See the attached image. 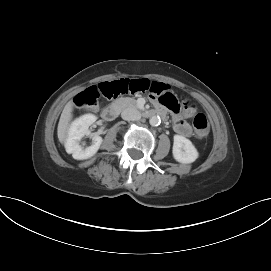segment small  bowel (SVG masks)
Returning <instances> with one entry per match:
<instances>
[{
  "instance_id": "c3829d8e",
  "label": "small bowel",
  "mask_w": 271,
  "mask_h": 271,
  "mask_svg": "<svg viewBox=\"0 0 271 271\" xmlns=\"http://www.w3.org/2000/svg\"><path fill=\"white\" fill-rule=\"evenodd\" d=\"M168 88V81L167 80H156L154 86L150 87V94L151 95H163L164 89ZM152 101L160 106L161 103L156 99L152 98ZM174 130L181 136L190 137L192 134V129L190 125L181 117L175 116L174 118Z\"/></svg>"
}]
</instances>
